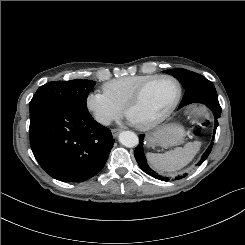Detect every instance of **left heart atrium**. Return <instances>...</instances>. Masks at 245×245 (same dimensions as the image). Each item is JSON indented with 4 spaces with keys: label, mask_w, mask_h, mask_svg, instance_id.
Listing matches in <instances>:
<instances>
[{
    "label": "left heart atrium",
    "mask_w": 245,
    "mask_h": 245,
    "mask_svg": "<svg viewBox=\"0 0 245 245\" xmlns=\"http://www.w3.org/2000/svg\"><path fill=\"white\" fill-rule=\"evenodd\" d=\"M128 121H129V123L130 124H132V125H137L130 117L128 118Z\"/></svg>",
    "instance_id": "obj_1"
}]
</instances>
